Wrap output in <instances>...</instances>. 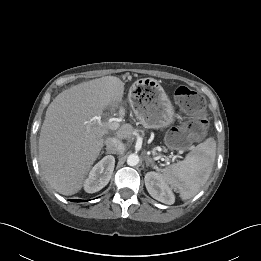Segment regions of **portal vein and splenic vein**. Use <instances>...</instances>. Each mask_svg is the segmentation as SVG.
<instances>
[{"instance_id":"portal-vein-and-splenic-vein-1","label":"portal vein and splenic vein","mask_w":261,"mask_h":261,"mask_svg":"<svg viewBox=\"0 0 261 261\" xmlns=\"http://www.w3.org/2000/svg\"><path fill=\"white\" fill-rule=\"evenodd\" d=\"M92 120H96L97 124L106 130H117L120 127V120L118 118L109 119L107 122H101V117H94ZM166 160L168 161V158Z\"/></svg>"}]
</instances>
